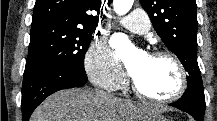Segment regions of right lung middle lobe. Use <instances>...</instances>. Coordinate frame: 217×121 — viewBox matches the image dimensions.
Instances as JSON below:
<instances>
[{"mask_svg": "<svg viewBox=\"0 0 217 121\" xmlns=\"http://www.w3.org/2000/svg\"><path fill=\"white\" fill-rule=\"evenodd\" d=\"M93 30L56 22L32 25L25 72L47 66H65L84 73V57Z\"/></svg>", "mask_w": 217, "mask_h": 121, "instance_id": "obj_1", "label": "right lung middle lobe"}]
</instances>
